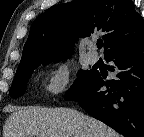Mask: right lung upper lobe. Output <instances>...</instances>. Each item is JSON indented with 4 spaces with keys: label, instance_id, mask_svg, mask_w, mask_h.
<instances>
[{
    "label": "right lung upper lobe",
    "instance_id": "cb5924a9",
    "mask_svg": "<svg viewBox=\"0 0 144 137\" xmlns=\"http://www.w3.org/2000/svg\"><path fill=\"white\" fill-rule=\"evenodd\" d=\"M101 33L104 54L144 37V21L131 0H75L41 13L33 22L19 66L68 57L78 38Z\"/></svg>",
    "mask_w": 144,
    "mask_h": 137
}]
</instances>
